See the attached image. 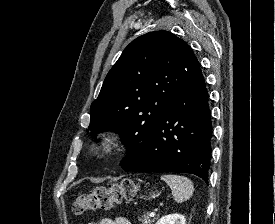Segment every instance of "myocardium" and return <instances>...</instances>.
Returning a JSON list of instances; mask_svg holds the SVG:
<instances>
[{
    "label": "myocardium",
    "instance_id": "f54148a6",
    "mask_svg": "<svg viewBox=\"0 0 275 224\" xmlns=\"http://www.w3.org/2000/svg\"><path fill=\"white\" fill-rule=\"evenodd\" d=\"M124 147L121 135L114 131L101 134L94 142V152L103 158H109L118 154Z\"/></svg>",
    "mask_w": 275,
    "mask_h": 224
}]
</instances>
